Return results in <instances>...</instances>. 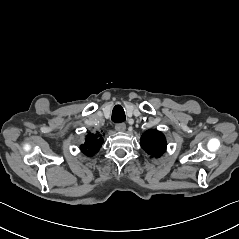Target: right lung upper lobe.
<instances>
[{
	"mask_svg": "<svg viewBox=\"0 0 239 239\" xmlns=\"http://www.w3.org/2000/svg\"><path fill=\"white\" fill-rule=\"evenodd\" d=\"M103 144V137L101 134L89 133L85 138V143L80 146L81 151L87 156L96 154Z\"/></svg>",
	"mask_w": 239,
	"mask_h": 239,
	"instance_id": "1",
	"label": "right lung upper lobe"
}]
</instances>
